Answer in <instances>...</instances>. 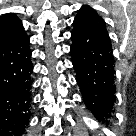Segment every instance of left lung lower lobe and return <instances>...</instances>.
I'll return each instance as SVG.
<instances>
[{
  "label": "left lung lower lobe",
  "mask_w": 136,
  "mask_h": 136,
  "mask_svg": "<svg viewBox=\"0 0 136 136\" xmlns=\"http://www.w3.org/2000/svg\"><path fill=\"white\" fill-rule=\"evenodd\" d=\"M72 63L82 98L92 114L103 121L112 112L115 97L111 43L105 22L84 6L74 19Z\"/></svg>",
  "instance_id": "left-lung-lower-lobe-1"
}]
</instances>
